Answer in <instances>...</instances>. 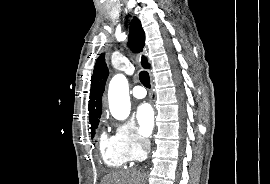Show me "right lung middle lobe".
Masks as SVG:
<instances>
[{"label":"right lung middle lobe","mask_w":270,"mask_h":184,"mask_svg":"<svg viewBox=\"0 0 270 184\" xmlns=\"http://www.w3.org/2000/svg\"><path fill=\"white\" fill-rule=\"evenodd\" d=\"M98 123H99V121H96V122H94V123L91 124V135H92V137L95 134V129L97 128Z\"/></svg>","instance_id":"dd1d6c3e"}]
</instances>
